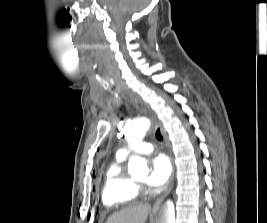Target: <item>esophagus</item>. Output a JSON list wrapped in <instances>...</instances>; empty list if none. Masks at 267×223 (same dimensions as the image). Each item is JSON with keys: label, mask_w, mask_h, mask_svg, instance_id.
I'll list each match as a JSON object with an SVG mask.
<instances>
[{"label": "esophagus", "mask_w": 267, "mask_h": 223, "mask_svg": "<svg viewBox=\"0 0 267 223\" xmlns=\"http://www.w3.org/2000/svg\"><path fill=\"white\" fill-rule=\"evenodd\" d=\"M157 127L160 129L161 131V134L163 136V139L165 141V144L167 146H169V142H168V138H167V134H166V131L163 127V125L160 123V122H157ZM172 187H173V177H172V181H171V184L170 186L168 187V189L165 191V193L155 202V204L153 205V212H157L161 203L163 202V200L165 199V197L170 193V191L172 190Z\"/></svg>", "instance_id": "34e87169"}]
</instances>
